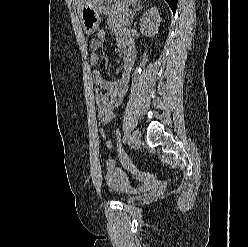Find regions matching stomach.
<instances>
[{
  "mask_svg": "<svg viewBox=\"0 0 248 247\" xmlns=\"http://www.w3.org/2000/svg\"><path fill=\"white\" fill-rule=\"evenodd\" d=\"M139 0H88L79 11L81 25L86 34L92 35L100 24V15L114 10H125Z\"/></svg>",
  "mask_w": 248,
  "mask_h": 247,
  "instance_id": "obj_1",
  "label": "stomach"
}]
</instances>
